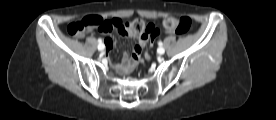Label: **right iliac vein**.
Listing matches in <instances>:
<instances>
[{
  "instance_id": "right-iliac-vein-1",
  "label": "right iliac vein",
  "mask_w": 276,
  "mask_h": 120,
  "mask_svg": "<svg viewBox=\"0 0 276 120\" xmlns=\"http://www.w3.org/2000/svg\"><path fill=\"white\" fill-rule=\"evenodd\" d=\"M98 50H99V51H103V50H104V44L98 45Z\"/></svg>"
}]
</instances>
